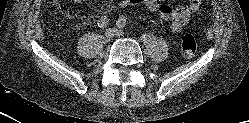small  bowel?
Wrapping results in <instances>:
<instances>
[{"label":"small bowel","mask_w":249,"mask_h":123,"mask_svg":"<svg viewBox=\"0 0 249 123\" xmlns=\"http://www.w3.org/2000/svg\"><path fill=\"white\" fill-rule=\"evenodd\" d=\"M135 5H144L150 11L158 12L170 23L171 30L179 33L188 24L193 14L200 13L202 0H189L179 7H172L160 0H119L113 4V7L126 8Z\"/></svg>","instance_id":"obj_1"}]
</instances>
